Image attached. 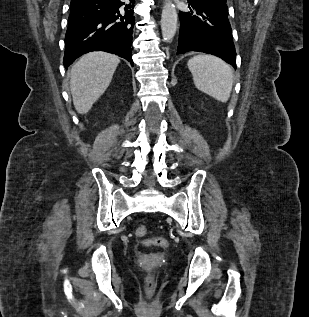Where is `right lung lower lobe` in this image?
Returning <instances> with one entry per match:
<instances>
[{
	"label": "right lung lower lobe",
	"instance_id": "obj_1",
	"mask_svg": "<svg viewBox=\"0 0 309 317\" xmlns=\"http://www.w3.org/2000/svg\"><path fill=\"white\" fill-rule=\"evenodd\" d=\"M135 0H72L63 64L90 51H106L131 65Z\"/></svg>",
	"mask_w": 309,
	"mask_h": 317
}]
</instances>
